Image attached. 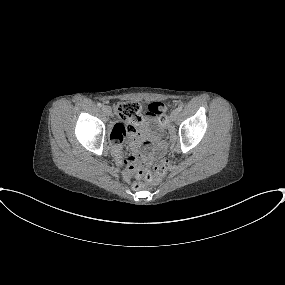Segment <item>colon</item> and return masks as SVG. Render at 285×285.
Instances as JSON below:
<instances>
[{
	"mask_svg": "<svg viewBox=\"0 0 285 285\" xmlns=\"http://www.w3.org/2000/svg\"><path fill=\"white\" fill-rule=\"evenodd\" d=\"M148 111L158 120L160 129H165L168 118L166 116V108L161 102H153L149 104ZM116 116L124 125L126 132H131L134 126L141 122L144 117V112L141 105L136 101H126L118 103L115 106ZM124 163L128 170L136 174L138 178L145 180L148 183L158 184L162 181L169 169V162L167 160L159 161L152 169H139L135 165V158L131 155L125 157ZM142 183L136 179L133 182L135 189L140 188Z\"/></svg>",
	"mask_w": 285,
	"mask_h": 285,
	"instance_id": "obj_1",
	"label": "colon"
}]
</instances>
